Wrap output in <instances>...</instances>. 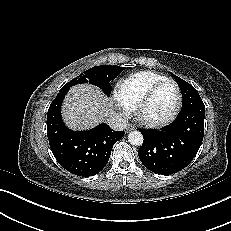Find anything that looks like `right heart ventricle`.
<instances>
[{
  "instance_id": "e07e8e85",
  "label": "right heart ventricle",
  "mask_w": 231,
  "mask_h": 231,
  "mask_svg": "<svg viewBox=\"0 0 231 231\" xmlns=\"http://www.w3.org/2000/svg\"><path fill=\"white\" fill-rule=\"evenodd\" d=\"M165 77L153 71H141L123 80L117 89V99L129 108H134L145 92Z\"/></svg>"
}]
</instances>
